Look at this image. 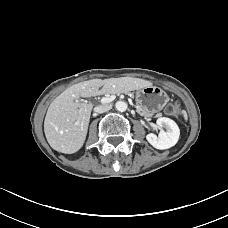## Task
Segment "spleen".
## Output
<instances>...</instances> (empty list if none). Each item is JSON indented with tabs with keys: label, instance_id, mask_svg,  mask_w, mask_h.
Returning a JSON list of instances; mask_svg holds the SVG:
<instances>
[{
	"label": "spleen",
	"instance_id": "3e777b00",
	"mask_svg": "<svg viewBox=\"0 0 228 228\" xmlns=\"http://www.w3.org/2000/svg\"><path fill=\"white\" fill-rule=\"evenodd\" d=\"M182 114H183L184 118L187 119V114L184 110L182 111Z\"/></svg>",
	"mask_w": 228,
	"mask_h": 228
}]
</instances>
